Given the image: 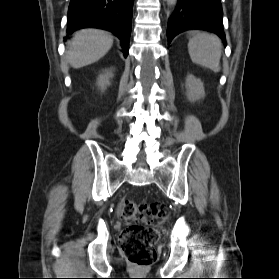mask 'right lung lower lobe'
<instances>
[{
    "label": "right lung lower lobe",
    "instance_id": "1",
    "mask_svg": "<svg viewBox=\"0 0 279 279\" xmlns=\"http://www.w3.org/2000/svg\"><path fill=\"white\" fill-rule=\"evenodd\" d=\"M133 2L134 0H71L67 34L86 27L109 30L119 37L124 56L127 57Z\"/></svg>",
    "mask_w": 279,
    "mask_h": 279
}]
</instances>
